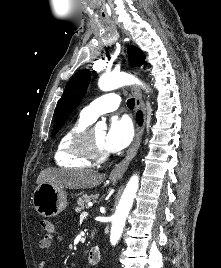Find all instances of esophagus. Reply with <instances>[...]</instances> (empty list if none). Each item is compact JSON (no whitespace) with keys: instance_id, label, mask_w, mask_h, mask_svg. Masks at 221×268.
<instances>
[{"instance_id":"34e87169","label":"esophagus","mask_w":221,"mask_h":268,"mask_svg":"<svg viewBox=\"0 0 221 268\" xmlns=\"http://www.w3.org/2000/svg\"><path fill=\"white\" fill-rule=\"evenodd\" d=\"M132 94L135 97V111L136 112L144 111L145 107H144V102L142 99V94H141L140 89L137 86L132 87ZM142 134H143V127L142 126L139 127L136 124V133H135L134 140H133L130 148L128 149L125 158L120 163H118L111 171V173H110L111 179H119L123 176V174L125 173V171L127 170L128 166H129L131 160L137 154V151H138L140 143H141Z\"/></svg>"}]
</instances>
